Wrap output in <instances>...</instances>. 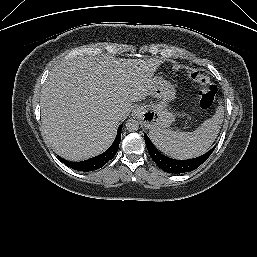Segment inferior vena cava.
I'll list each match as a JSON object with an SVG mask.
<instances>
[{"mask_svg":"<svg viewBox=\"0 0 257 257\" xmlns=\"http://www.w3.org/2000/svg\"><path fill=\"white\" fill-rule=\"evenodd\" d=\"M114 119H115V120H119V119H120V116H119V115H116V116H114Z\"/></svg>","mask_w":257,"mask_h":257,"instance_id":"602c4592","label":"inferior vena cava"}]
</instances>
